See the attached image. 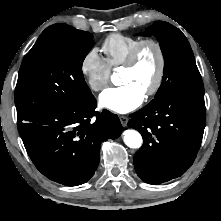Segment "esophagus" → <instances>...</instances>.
<instances>
[{"label": "esophagus", "mask_w": 221, "mask_h": 221, "mask_svg": "<svg viewBox=\"0 0 221 221\" xmlns=\"http://www.w3.org/2000/svg\"><path fill=\"white\" fill-rule=\"evenodd\" d=\"M119 118H120L121 124L125 127L128 123V117L122 115Z\"/></svg>", "instance_id": "34e87169"}]
</instances>
